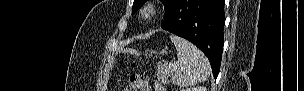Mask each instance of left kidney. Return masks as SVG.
Wrapping results in <instances>:
<instances>
[{
	"instance_id": "left-kidney-1",
	"label": "left kidney",
	"mask_w": 304,
	"mask_h": 91,
	"mask_svg": "<svg viewBox=\"0 0 304 91\" xmlns=\"http://www.w3.org/2000/svg\"><path fill=\"white\" fill-rule=\"evenodd\" d=\"M182 91H207V89L203 86H200V87L186 88L183 89Z\"/></svg>"
}]
</instances>
